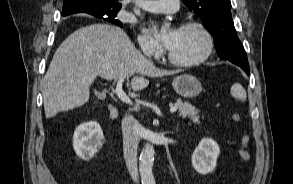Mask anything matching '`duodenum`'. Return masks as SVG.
<instances>
[{
  "label": "duodenum",
  "instance_id": "410a0bca",
  "mask_svg": "<svg viewBox=\"0 0 293 184\" xmlns=\"http://www.w3.org/2000/svg\"><path fill=\"white\" fill-rule=\"evenodd\" d=\"M118 114V109L115 105H110L109 106V112L107 114L106 120L111 121L113 120Z\"/></svg>",
  "mask_w": 293,
  "mask_h": 184
}]
</instances>
